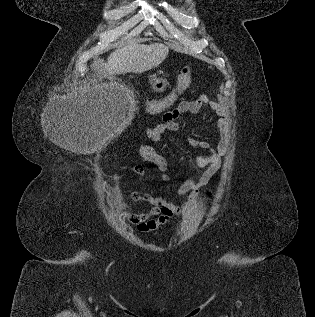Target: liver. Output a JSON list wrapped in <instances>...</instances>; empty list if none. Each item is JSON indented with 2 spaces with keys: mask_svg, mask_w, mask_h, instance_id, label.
I'll use <instances>...</instances> for the list:
<instances>
[{
  "mask_svg": "<svg viewBox=\"0 0 315 317\" xmlns=\"http://www.w3.org/2000/svg\"><path fill=\"white\" fill-rule=\"evenodd\" d=\"M168 54L169 48L161 43H153L150 45L132 43L125 47L118 48L110 54L105 65L104 76L144 73L152 68L158 67L166 59ZM123 96H125V98H122V100L118 99L120 100V104L118 105H126L129 100L128 93L123 92Z\"/></svg>",
  "mask_w": 315,
  "mask_h": 317,
  "instance_id": "6515ba94",
  "label": "liver"
}]
</instances>
